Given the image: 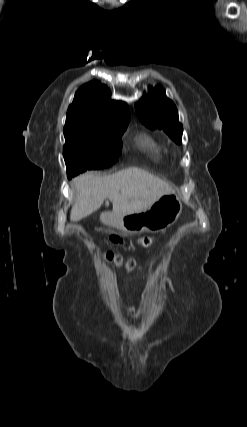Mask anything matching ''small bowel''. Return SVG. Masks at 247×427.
I'll list each match as a JSON object with an SVG mask.
<instances>
[{
    "label": "small bowel",
    "mask_w": 247,
    "mask_h": 427,
    "mask_svg": "<svg viewBox=\"0 0 247 427\" xmlns=\"http://www.w3.org/2000/svg\"><path fill=\"white\" fill-rule=\"evenodd\" d=\"M144 242L147 243V240H145ZM113 243H115L116 245L120 246V245H122L123 242L118 237H114L113 238Z\"/></svg>",
    "instance_id": "small-bowel-1"
}]
</instances>
